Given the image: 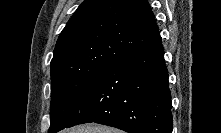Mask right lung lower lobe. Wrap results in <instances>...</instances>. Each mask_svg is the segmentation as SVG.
Wrapping results in <instances>:
<instances>
[{
  "instance_id": "1",
  "label": "right lung lower lobe",
  "mask_w": 221,
  "mask_h": 133,
  "mask_svg": "<svg viewBox=\"0 0 221 133\" xmlns=\"http://www.w3.org/2000/svg\"><path fill=\"white\" fill-rule=\"evenodd\" d=\"M95 122L128 133H172L171 93L162 43L109 66L67 127Z\"/></svg>"
}]
</instances>
